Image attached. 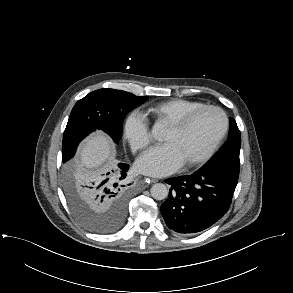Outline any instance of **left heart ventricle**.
I'll return each mask as SVG.
<instances>
[{
	"instance_id": "left-heart-ventricle-1",
	"label": "left heart ventricle",
	"mask_w": 293,
	"mask_h": 293,
	"mask_svg": "<svg viewBox=\"0 0 293 293\" xmlns=\"http://www.w3.org/2000/svg\"><path fill=\"white\" fill-rule=\"evenodd\" d=\"M222 128L221 115L215 111H205L182 132H174L167 128L163 141L174 147L184 164L204 154Z\"/></svg>"
}]
</instances>
